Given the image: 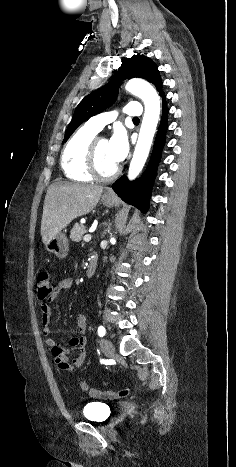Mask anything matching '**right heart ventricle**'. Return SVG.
I'll list each match as a JSON object with an SVG mask.
<instances>
[{
  "instance_id": "e07e8e85",
  "label": "right heart ventricle",
  "mask_w": 236,
  "mask_h": 467,
  "mask_svg": "<svg viewBox=\"0 0 236 467\" xmlns=\"http://www.w3.org/2000/svg\"><path fill=\"white\" fill-rule=\"evenodd\" d=\"M97 131L84 125L67 142L61 156L64 175L78 182H89L93 177L87 171V151Z\"/></svg>"
}]
</instances>
